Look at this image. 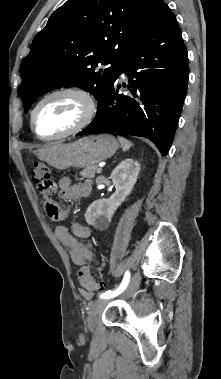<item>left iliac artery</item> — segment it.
<instances>
[{
    "label": "left iliac artery",
    "instance_id": "left-iliac-artery-1",
    "mask_svg": "<svg viewBox=\"0 0 221 379\" xmlns=\"http://www.w3.org/2000/svg\"><path fill=\"white\" fill-rule=\"evenodd\" d=\"M129 281H130V272L126 271L121 284L116 289H114L112 291L108 290V291L100 294L99 298L110 299V298L118 296L119 294H121L126 289Z\"/></svg>",
    "mask_w": 221,
    "mask_h": 379
}]
</instances>
